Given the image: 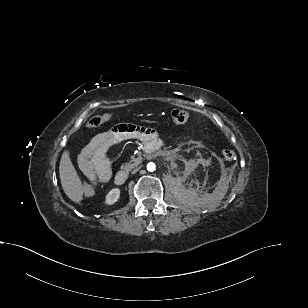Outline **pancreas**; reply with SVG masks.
Instances as JSON below:
<instances>
[{
	"label": "pancreas",
	"mask_w": 308,
	"mask_h": 308,
	"mask_svg": "<svg viewBox=\"0 0 308 308\" xmlns=\"http://www.w3.org/2000/svg\"><path fill=\"white\" fill-rule=\"evenodd\" d=\"M141 163V158H132L131 162L122 165V169L130 171Z\"/></svg>",
	"instance_id": "obj_1"
}]
</instances>
